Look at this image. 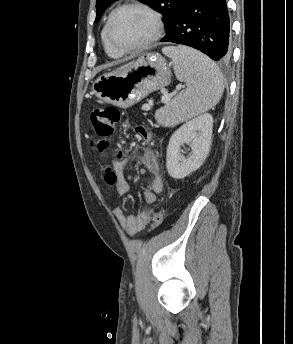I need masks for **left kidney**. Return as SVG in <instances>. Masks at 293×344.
<instances>
[{"label": "left kidney", "instance_id": "obj_1", "mask_svg": "<svg viewBox=\"0 0 293 344\" xmlns=\"http://www.w3.org/2000/svg\"><path fill=\"white\" fill-rule=\"evenodd\" d=\"M213 117L202 114L183 124L171 136L167 148L166 167L174 179H183L196 171L205 161L212 142ZM189 144L192 152L185 158L180 146Z\"/></svg>", "mask_w": 293, "mask_h": 344}]
</instances>
